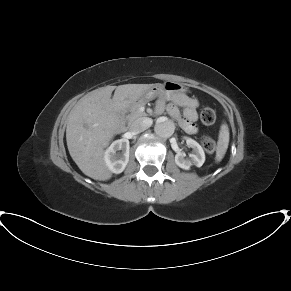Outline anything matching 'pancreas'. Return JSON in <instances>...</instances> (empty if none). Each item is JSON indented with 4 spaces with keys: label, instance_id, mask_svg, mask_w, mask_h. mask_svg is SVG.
Masks as SVG:
<instances>
[{
    "label": "pancreas",
    "instance_id": "pancreas-1",
    "mask_svg": "<svg viewBox=\"0 0 291 291\" xmlns=\"http://www.w3.org/2000/svg\"><path fill=\"white\" fill-rule=\"evenodd\" d=\"M145 104H146V101L144 99H141L138 102L133 103L128 107L129 114L127 115V119L129 122H132L135 119L146 116L145 112L140 111V107L144 106Z\"/></svg>",
    "mask_w": 291,
    "mask_h": 291
}]
</instances>
